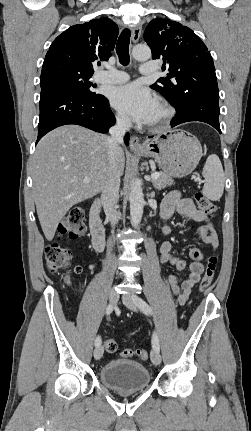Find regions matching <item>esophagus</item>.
Wrapping results in <instances>:
<instances>
[{
    "label": "esophagus",
    "instance_id": "1",
    "mask_svg": "<svg viewBox=\"0 0 251 431\" xmlns=\"http://www.w3.org/2000/svg\"><path fill=\"white\" fill-rule=\"evenodd\" d=\"M141 36V26L137 25L132 29L131 40L136 43ZM130 149L133 151L143 149L142 144L137 136H132L130 139Z\"/></svg>",
    "mask_w": 251,
    "mask_h": 431
}]
</instances>
